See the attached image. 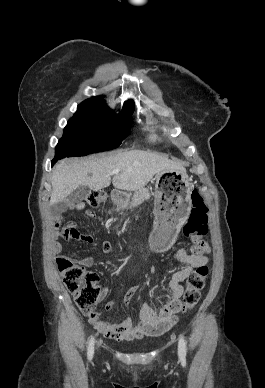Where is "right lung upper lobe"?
I'll use <instances>...</instances> for the list:
<instances>
[{"label":"right lung upper lobe","mask_w":265,"mask_h":388,"mask_svg":"<svg viewBox=\"0 0 265 388\" xmlns=\"http://www.w3.org/2000/svg\"><path fill=\"white\" fill-rule=\"evenodd\" d=\"M125 104L134 105V102L132 100H128L127 102H125Z\"/></svg>","instance_id":"1"}]
</instances>
